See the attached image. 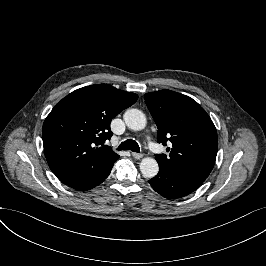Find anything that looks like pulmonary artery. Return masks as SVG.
<instances>
[{
    "instance_id": "obj_1",
    "label": "pulmonary artery",
    "mask_w": 266,
    "mask_h": 266,
    "mask_svg": "<svg viewBox=\"0 0 266 266\" xmlns=\"http://www.w3.org/2000/svg\"><path fill=\"white\" fill-rule=\"evenodd\" d=\"M147 148L154 154H159L161 151L160 145H155L152 137L146 138Z\"/></svg>"
}]
</instances>
